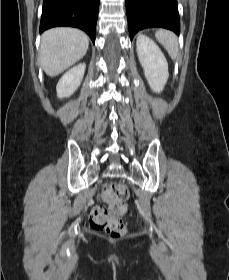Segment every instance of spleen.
I'll return each mask as SVG.
<instances>
[{
	"mask_svg": "<svg viewBox=\"0 0 229 280\" xmlns=\"http://www.w3.org/2000/svg\"><path fill=\"white\" fill-rule=\"evenodd\" d=\"M156 39L167 50L170 57L175 60L178 56L179 44L177 36L168 30H158L155 33Z\"/></svg>",
	"mask_w": 229,
	"mask_h": 280,
	"instance_id": "obj_1",
	"label": "spleen"
}]
</instances>
